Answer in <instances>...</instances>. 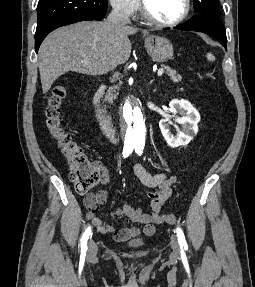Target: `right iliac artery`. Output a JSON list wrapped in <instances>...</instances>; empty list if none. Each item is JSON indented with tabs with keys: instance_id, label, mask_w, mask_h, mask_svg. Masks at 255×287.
Masks as SVG:
<instances>
[{
	"instance_id": "right-iliac-artery-1",
	"label": "right iliac artery",
	"mask_w": 255,
	"mask_h": 287,
	"mask_svg": "<svg viewBox=\"0 0 255 287\" xmlns=\"http://www.w3.org/2000/svg\"><path fill=\"white\" fill-rule=\"evenodd\" d=\"M132 151H133L132 148H125L123 150L124 158L128 157L132 153ZM90 234H91V227H88L81 238V249L83 252H86L87 250V240L89 239Z\"/></svg>"
}]
</instances>
